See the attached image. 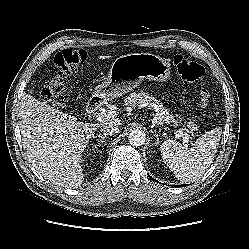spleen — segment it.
Segmentation results:
<instances>
[{
    "mask_svg": "<svg viewBox=\"0 0 249 249\" xmlns=\"http://www.w3.org/2000/svg\"><path fill=\"white\" fill-rule=\"evenodd\" d=\"M221 132V128L206 132L189 149L175 140H166L161 145L162 158L178 180L181 182L195 181L213 162Z\"/></svg>",
    "mask_w": 249,
    "mask_h": 249,
    "instance_id": "spleen-1",
    "label": "spleen"
}]
</instances>
